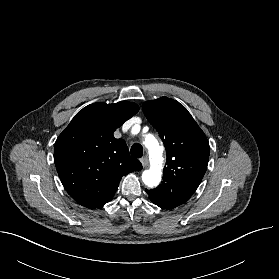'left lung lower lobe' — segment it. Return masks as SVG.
<instances>
[{
  "label": "left lung lower lobe",
  "instance_id": "0a47b994",
  "mask_svg": "<svg viewBox=\"0 0 279 279\" xmlns=\"http://www.w3.org/2000/svg\"><path fill=\"white\" fill-rule=\"evenodd\" d=\"M149 198L154 204H156L157 206H159L162 209H173V208L181 205V203H178V202L165 201V200H161V199L153 198V197H149Z\"/></svg>",
  "mask_w": 279,
  "mask_h": 279
}]
</instances>
